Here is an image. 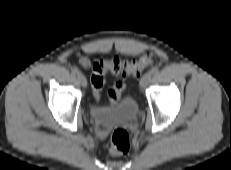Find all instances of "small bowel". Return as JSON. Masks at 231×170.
Returning a JSON list of instances; mask_svg holds the SVG:
<instances>
[{"mask_svg": "<svg viewBox=\"0 0 231 170\" xmlns=\"http://www.w3.org/2000/svg\"><path fill=\"white\" fill-rule=\"evenodd\" d=\"M79 64H80L82 67L87 68V67H89V65H90V61H89V59H88L87 57H81V58L79 59Z\"/></svg>", "mask_w": 231, "mask_h": 170, "instance_id": "obj_1", "label": "small bowel"}]
</instances>
